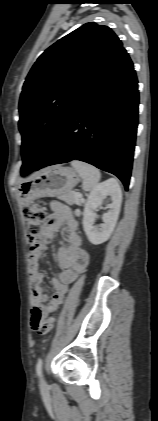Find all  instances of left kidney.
Listing matches in <instances>:
<instances>
[{
    "mask_svg": "<svg viewBox=\"0 0 158 421\" xmlns=\"http://www.w3.org/2000/svg\"><path fill=\"white\" fill-rule=\"evenodd\" d=\"M110 196L111 203L108 205V212L102 217L103 224L101 228L93 226L96 215L94 210L98 208L103 200ZM122 202V192L116 179H108L96 186L89 194L83 213V228L88 240L93 245H100L106 242L118 220Z\"/></svg>",
    "mask_w": 158,
    "mask_h": 421,
    "instance_id": "1",
    "label": "left kidney"
}]
</instances>
